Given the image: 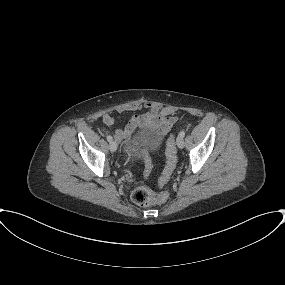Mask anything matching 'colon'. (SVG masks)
<instances>
[{"mask_svg": "<svg viewBox=\"0 0 285 285\" xmlns=\"http://www.w3.org/2000/svg\"><path fill=\"white\" fill-rule=\"evenodd\" d=\"M167 165L160 178V184H165L171 177L176 165V152L174 148V137H170L167 142L166 149ZM152 168V162L149 158L146 159V172L149 173ZM134 203L145 206L150 204H163L167 195L165 193H155L146 185L137 187L131 195Z\"/></svg>", "mask_w": 285, "mask_h": 285, "instance_id": "obj_1", "label": "colon"}]
</instances>
